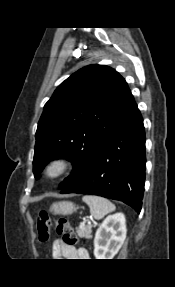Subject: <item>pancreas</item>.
<instances>
[{"mask_svg": "<svg viewBox=\"0 0 175 287\" xmlns=\"http://www.w3.org/2000/svg\"><path fill=\"white\" fill-rule=\"evenodd\" d=\"M76 232L79 237L89 239L91 238L92 226L91 225L84 226L82 228L77 229Z\"/></svg>", "mask_w": 175, "mask_h": 287, "instance_id": "obj_1", "label": "pancreas"}]
</instances>
